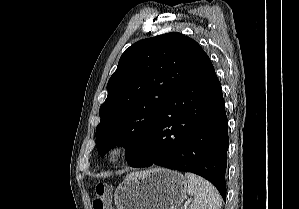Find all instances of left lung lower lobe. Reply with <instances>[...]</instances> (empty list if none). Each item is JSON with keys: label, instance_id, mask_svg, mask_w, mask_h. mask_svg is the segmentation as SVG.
Listing matches in <instances>:
<instances>
[{"label": "left lung lower lobe", "instance_id": "left-lung-lower-lobe-1", "mask_svg": "<svg viewBox=\"0 0 299 209\" xmlns=\"http://www.w3.org/2000/svg\"><path fill=\"white\" fill-rule=\"evenodd\" d=\"M228 146L221 84L210 61L167 101L130 166L156 164L198 174L225 200Z\"/></svg>", "mask_w": 299, "mask_h": 209}]
</instances>
